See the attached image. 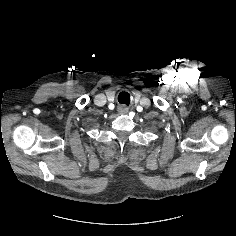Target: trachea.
<instances>
[{
  "label": "trachea",
  "instance_id": "trachea-1",
  "mask_svg": "<svg viewBox=\"0 0 236 236\" xmlns=\"http://www.w3.org/2000/svg\"><path fill=\"white\" fill-rule=\"evenodd\" d=\"M118 101L119 103L126 104L127 106L129 105L130 102V96L126 92H122L118 96Z\"/></svg>",
  "mask_w": 236,
  "mask_h": 236
}]
</instances>
